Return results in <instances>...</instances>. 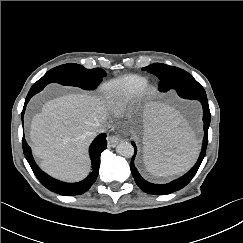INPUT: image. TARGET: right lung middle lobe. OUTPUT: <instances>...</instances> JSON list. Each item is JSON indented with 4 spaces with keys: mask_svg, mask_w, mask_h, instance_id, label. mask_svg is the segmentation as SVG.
<instances>
[{
    "mask_svg": "<svg viewBox=\"0 0 243 243\" xmlns=\"http://www.w3.org/2000/svg\"><path fill=\"white\" fill-rule=\"evenodd\" d=\"M106 75L100 68L86 69L78 64H65L48 71L35 86H46L56 82L62 85L77 86L82 89L93 90Z\"/></svg>",
    "mask_w": 243,
    "mask_h": 243,
    "instance_id": "right-lung-middle-lobe-1",
    "label": "right lung middle lobe"
}]
</instances>
